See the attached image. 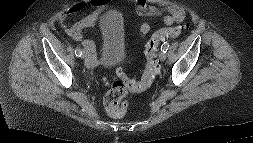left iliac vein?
I'll return each mask as SVG.
<instances>
[{
    "label": "left iliac vein",
    "mask_w": 253,
    "mask_h": 143,
    "mask_svg": "<svg viewBox=\"0 0 253 143\" xmlns=\"http://www.w3.org/2000/svg\"><path fill=\"white\" fill-rule=\"evenodd\" d=\"M166 58H167L166 53L161 52V53L159 54V59H160L161 61H164Z\"/></svg>",
    "instance_id": "obj_1"
}]
</instances>
